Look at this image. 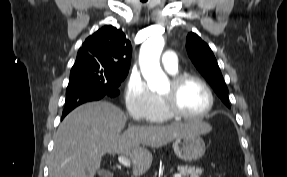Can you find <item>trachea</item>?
I'll return each mask as SVG.
<instances>
[{"instance_id":"1","label":"trachea","mask_w":287,"mask_h":177,"mask_svg":"<svg viewBox=\"0 0 287 177\" xmlns=\"http://www.w3.org/2000/svg\"><path fill=\"white\" fill-rule=\"evenodd\" d=\"M140 1L143 2V3L147 2V0H140Z\"/></svg>"}]
</instances>
